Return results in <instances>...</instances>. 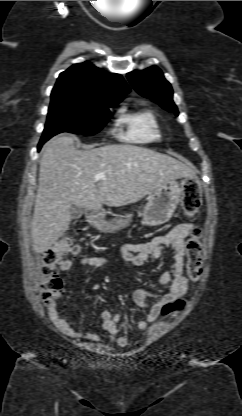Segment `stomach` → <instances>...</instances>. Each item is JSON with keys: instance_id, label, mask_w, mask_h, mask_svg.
Returning <instances> with one entry per match:
<instances>
[{"instance_id": "1", "label": "stomach", "mask_w": 242, "mask_h": 416, "mask_svg": "<svg viewBox=\"0 0 242 416\" xmlns=\"http://www.w3.org/2000/svg\"><path fill=\"white\" fill-rule=\"evenodd\" d=\"M183 182L171 179L158 186L149 194V200L142 213V223L147 226H159L166 223L173 215L180 202L183 192ZM91 225L104 233H114L124 228L128 221L115 219L107 221L103 211H96L87 215Z\"/></svg>"}]
</instances>
